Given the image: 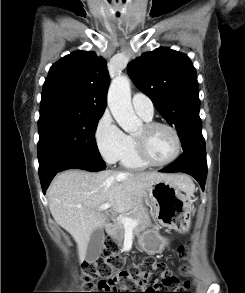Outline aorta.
<instances>
[{"instance_id": "762f6f07", "label": "aorta", "mask_w": 245, "mask_h": 293, "mask_svg": "<svg viewBox=\"0 0 245 293\" xmlns=\"http://www.w3.org/2000/svg\"><path fill=\"white\" fill-rule=\"evenodd\" d=\"M108 106L119 126L127 133L137 131L141 120L131 103L130 81L126 76H116L108 90Z\"/></svg>"}]
</instances>
